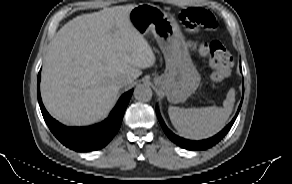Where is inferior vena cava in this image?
<instances>
[{
    "label": "inferior vena cava",
    "mask_w": 292,
    "mask_h": 184,
    "mask_svg": "<svg viewBox=\"0 0 292 184\" xmlns=\"http://www.w3.org/2000/svg\"><path fill=\"white\" fill-rule=\"evenodd\" d=\"M128 83H129V80L127 78H120L117 81V84H118L119 87L126 86Z\"/></svg>",
    "instance_id": "inferior-vena-cava-1"
}]
</instances>
